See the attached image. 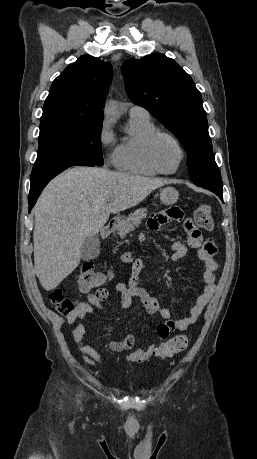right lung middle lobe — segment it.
I'll list each match as a JSON object with an SVG mask.
<instances>
[{"label":"right lung middle lobe","mask_w":257,"mask_h":459,"mask_svg":"<svg viewBox=\"0 0 257 459\" xmlns=\"http://www.w3.org/2000/svg\"><path fill=\"white\" fill-rule=\"evenodd\" d=\"M39 149L34 166L70 159L103 165L102 120L46 113L40 119Z\"/></svg>","instance_id":"obj_1"}]
</instances>
